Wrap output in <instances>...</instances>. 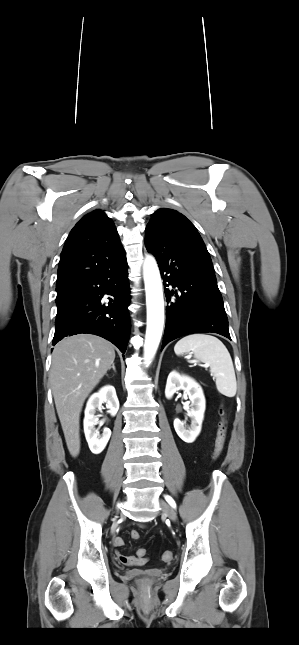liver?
<instances>
[{"label": "liver", "instance_id": "6515ba94", "mask_svg": "<svg viewBox=\"0 0 299 645\" xmlns=\"http://www.w3.org/2000/svg\"><path fill=\"white\" fill-rule=\"evenodd\" d=\"M114 359L113 345L91 334L67 337L54 347L50 383L72 457L80 452L79 419L84 401L111 368Z\"/></svg>", "mask_w": 299, "mask_h": 645}]
</instances>
